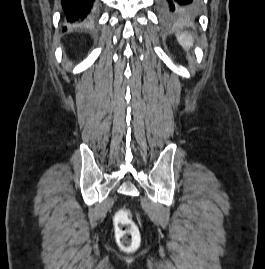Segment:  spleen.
Returning <instances> with one entry per match:
<instances>
[{"label":"spleen","mask_w":265,"mask_h":269,"mask_svg":"<svg viewBox=\"0 0 265 269\" xmlns=\"http://www.w3.org/2000/svg\"><path fill=\"white\" fill-rule=\"evenodd\" d=\"M177 41L185 49L189 50L193 45V37L190 33L183 32L176 35Z\"/></svg>","instance_id":"3e777b00"}]
</instances>
